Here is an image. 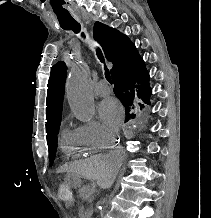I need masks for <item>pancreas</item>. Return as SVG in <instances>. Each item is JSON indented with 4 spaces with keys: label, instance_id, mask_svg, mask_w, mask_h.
Masks as SVG:
<instances>
[{
    "label": "pancreas",
    "instance_id": "pancreas-1",
    "mask_svg": "<svg viewBox=\"0 0 211 218\" xmlns=\"http://www.w3.org/2000/svg\"><path fill=\"white\" fill-rule=\"evenodd\" d=\"M82 190H78V195H82V200H93L92 186H82Z\"/></svg>",
    "mask_w": 211,
    "mask_h": 218
}]
</instances>
